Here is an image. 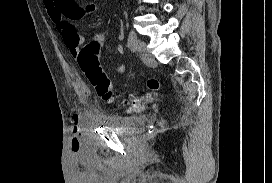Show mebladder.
Segmentation results:
<instances>
[{
	"label": "bladder",
	"mask_w": 272,
	"mask_h": 183,
	"mask_svg": "<svg viewBox=\"0 0 272 183\" xmlns=\"http://www.w3.org/2000/svg\"><path fill=\"white\" fill-rule=\"evenodd\" d=\"M143 122V118L139 116L109 115L101 118L104 126L131 133L137 132Z\"/></svg>",
	"instance_id": "1"
}]
</instances>
